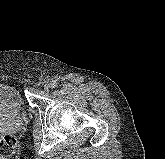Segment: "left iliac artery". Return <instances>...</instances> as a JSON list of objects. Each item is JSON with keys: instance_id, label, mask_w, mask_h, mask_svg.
Listing matches in <instances>:
<instances>
[{"instance_id": "left-iliac-artery-1", "label": "left iliac artery", "mask_w": 165, "mask_h": 159, "mask_svg": "<svg viewBox=\"0 0 165 159\" xmlns=\"http://www.w3.org/2000/svg\"><path fill=\"white\" fill-rule=\"evenodd\" d=\"M52 87H53V88L57 87V82H56V81H53V82H52Z\"/></svg>"}]
</instances>
